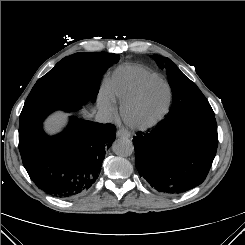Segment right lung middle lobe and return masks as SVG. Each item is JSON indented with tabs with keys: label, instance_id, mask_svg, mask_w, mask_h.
Returning a JSON list of instances; mask_svg holds the SVG:
<instances>
[{
	"label": "right lung middle lobe",
	"instance_id": "right-lung-middle-lobe-1",
	"mask_svg": "<svg viewBox=\"0 0 245 245\" xmlns=\"http://www.w3.org/2000/svg\"><path fill=\"white\" fill-rule=\"evenodd\" d=\"M85 55L97 56L106 69L119 61L118 54L107 52H80L63 58L32 88L20 114L19 133L40 125L54 110L75 111L90 99L95 101L99 84L87 82L78 62Z\"/></svg>",
	"mask_w": 245,
	"mask_h": 245
}]
</instances>
